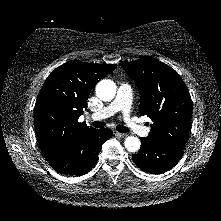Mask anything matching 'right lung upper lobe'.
<instances>
[{
    "instance_id": "cb5924a9",
    "label": "right lung upper lobe",
    "mask_w": 221,
    "mask_h": 221,
    "mask_svg": "<svg viewBox=\"0 0 221 221\" xmlns=\"http://www.w3.org/2000/svg\"><path fill=\"white\" fill-rule=\"evenodd\" d=\"M115 64L70 61L46 79L34 108V125L42 154L48 163L65 153L84 134L94 130L78 122L91 89L112 73Z\"/></svg>"
}]
</instances>
